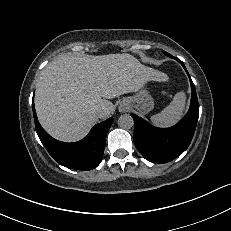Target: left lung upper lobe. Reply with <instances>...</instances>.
<instances>
[{"mask_svg":"<svg viewBox=\"0 0 231 231\" xmlns=\"http://www.w3.org/2000/svg\"><path fill=\"white\" fill-rule=\"evenodd\" d=\"M163 53H164L165 55H167V56H170V57H171V55H170L169 53H167V52H165V51H163Z\"/></svg>","mask_w":231,"mask_h":231,"instance_id":"obj_1","label":"left lung upper lobe"}]
</instances>
